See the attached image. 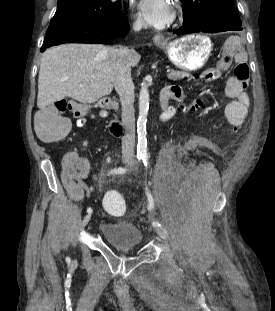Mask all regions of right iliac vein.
<instances>
[{
    "mask_svg": "<svg viewBox=\"0 0 275 311\" xmlns=\"http://www.w3.org/2000/svg\"><path fill=\"white\" fill-rule=\"evenodd\" d=\"M124 163L129 164L130 161H129L128 159H125V160H124ZM90 219H91V214L86 215V216L84 217L83 221H82V226H83V227L86 226V225L88 224V222L90 221Z\"/></svg>",
    "mask_w": 275,
    "mask_h": 311,
    "instance_id": "1",
    "label": "right iliac vein"
}]
</instances>
